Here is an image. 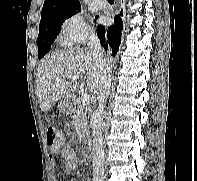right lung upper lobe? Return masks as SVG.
I'll use <instances>...</instances> for the list:
<instances>
[{
	"mask_svg": "<svg viewBox=\"0 0 197 181\" xmlns=\"http://www.w3.org/2000/svg\"><path fill=\"white\" fill-rule=\"evenodd\" d=\"M80 8L79 0H45L41 17L59 14Z\"/></svg>",
	"mask_w": 197,
	"mask_h": 181,
	"instance_id": "cb5924a9",
	"label": "right lung upper lobe"
}]
</instances>
